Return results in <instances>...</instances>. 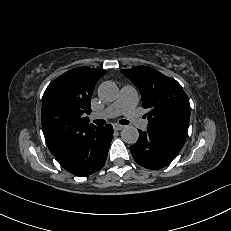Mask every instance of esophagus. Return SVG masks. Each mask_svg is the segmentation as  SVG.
Here are the masks:
<instances>
[{
	"mask_svg": "<svg viewBox=\"0 0 231 231\" xmlns=\"http://www.w3.org/2000/svg\"><path fill=\"white\" fill-rule=\"evenodd\" d=\"M123 125H120V124H114L113 125V128H114V130H116V131H118V130H121V129H123Z\"/></svg>",
	"mask_w": 231,
	"mask_h": 231,
	"instance_id": "esophagus-1",
	"label": "esophagus"
}]
</instances>
